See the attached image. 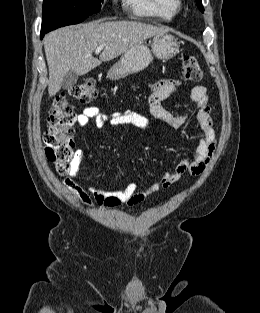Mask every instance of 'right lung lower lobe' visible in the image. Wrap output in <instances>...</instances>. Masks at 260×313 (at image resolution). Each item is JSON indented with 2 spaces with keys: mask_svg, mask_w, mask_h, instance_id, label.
I'll use <instances>...</instances> for the list:
<instances>
[{
  "mask_svg": "<svg viewBox=\"0 0 260 313\" xmlns=\"http://www.w3.org/2000/svg\"><path fill=\"white\" fill-rule=\"evenodd\" d=\"M46 32L41 30V38H43V36L45 35Z\"/></svg>",
  "mask_w": 260,
  "mask_h": 313,
  "instance_id": "1",
  "label": "right lung lower lobe"
}]
</instances>
